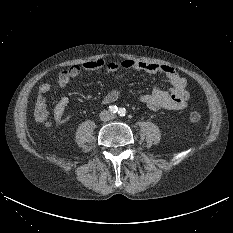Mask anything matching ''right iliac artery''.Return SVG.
Listing matches in <instances>:
<instances>
[{"instance_id": "1", "label": "right iliac artery", "mask_w": 233, "mask_h": 233, "mask_svg": "<svg viewBox=\"0 0 233 233\" xmlns=\"http://www.w3.org/2000/svg\"><path fill=\"white\" fill-rule=\"evenodd\" d=\"M109 111L111 113H116L118 111V107L116 105L109 106Z\"/></svg>"}]
</instances>
